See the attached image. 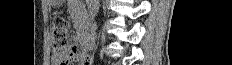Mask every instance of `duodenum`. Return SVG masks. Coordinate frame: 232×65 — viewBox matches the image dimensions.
Here are the masks:
<instances>
[{
    "label": "duodenum",
    "mask_w": 232,
    "mask_h": 65,
    "mask_svg": "<svg viewBox=\"0 0 232 65\" xmlns=\"http://www.w3.org/2000/svg\"><path fill=\"white\" fill-rule=\"evenodd\" d=\"M79 41L84 52H87L92 48V33L90 29H84L80 32Z\"/></svg>",
    "instance_id": "1"
}]
</instances>
